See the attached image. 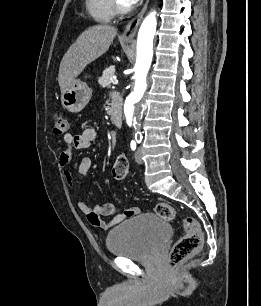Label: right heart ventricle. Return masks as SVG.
Wrapping results in <instances>:
<instances>
[{
  "label": "right heart ventricle",
  "mask_w": 261,
  "mask_h": 306,
  "mask_svg": "<svg viewBox=\"0 0 261 306\" xmlns=\"http://www.w3.org/2000/svg\"><path fill=\"white\" fill-rule=\"evenodd\" d=\"M86 9L90 16L98 22H110L115 12L111 0H86Z\"/></svg>",
  "instance_id": "e07e8e85"
}]
</instances>
